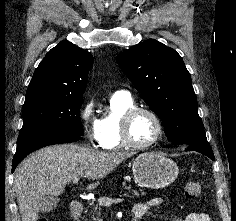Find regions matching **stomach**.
Returning a JSON list of instances; mask_svg holds the SVG:
<instances>
[{
	"mask_svg": "<svg viewBox=\"0 0 236 221\" xmlns=\"http://www.w3.org/2000/svg\"><path fill=\"white\" fill-rule=\"evenodd\" d=\"M132 171L139 186L161 189L175 181L179 168L173 160L159 153L146 152L133 160Z\"/></svg>",
	"mask_w": 236,
	"mask_h": 221,
	"instance_id": "obj_1",
	"label": "stomach"
}]
</instances>
